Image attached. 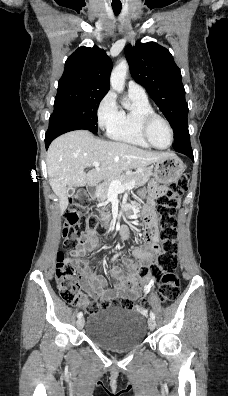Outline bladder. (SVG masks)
Here are the masks:
<instances>
[{"label": "bladder", "mask_w": 228, "mask_h": 396, "mask_svg": "<svg viewBox=\"0 0 228 396\" xmlns=\"http://www.w3.org/2000/svg\"><path fill=\"white\" fill-rule=\"evenodd\" d=\"M85 335L104 349L127 351L145 341L146 320L140 313L133 310L102 309L89 316L85 326Z\"/></svg>", "instance_id": "31cf9c89"}]
</instances>
